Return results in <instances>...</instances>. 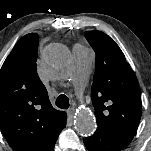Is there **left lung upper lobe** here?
<instances>
[{
	"label": "left lung upper lobe",
	"instance_id": "left-lung-upper-lobe-1",
	"mask_svg": "<svg viewBox=\"0 0 151 151\" xmlns=\"http://www.w3.org/2000/svg\"><path fill=\"white\" fill-rule=\"evenodd\" d=\"M96 53L92 103L98 129L133 137L142 105L136 75L118 45L100 31H86Z\"/></svg>",
	"mask_w": 151,
	"mask_h": 151
}]
</instances>
